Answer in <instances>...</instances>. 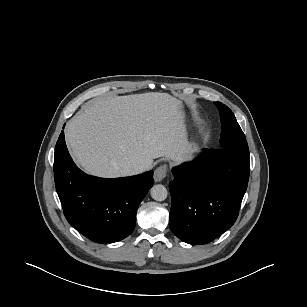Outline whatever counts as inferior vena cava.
I'll return each mask as SVG.
<instances>
[{
	"instance_id": "obj_1",
	"label": "inferior vena cava",
	"mask_w": 307,
	"mask_h": 307,
	"mask_svg": "<svg viewBox=\"0 0 307 307\" xmlns=\"http://www.w3.org/2000/svg\"><path fill=\"white\" fill-rule=\"evenodd\" d=\"M146 169H147V166H145V165H136V166H133V167L126 168L124 170V174L125 175H135V174L142 173Z\"/></svg>"
}]
</instances>
